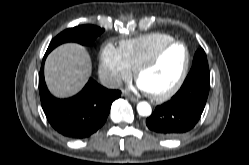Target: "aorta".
Returning a JSON list of instances; mask_svg holds the SVG:
<instances>
[{
	"mask_svg": "<svg viewBox=\"0 0 249 165\" xmlns=\"http://www.w3.org/2000/svg\"><path fill=\"white\" fill-rule=\"evenodd\" d=\"M137 111L141 116H149L152 112V109L149 103L143 101L138 103Z\"/></svg>",
	"mask_w": 249,
	"mask_h": 165,
	"instance_id": "aorta-1",
	"label": "aorta"
}]
</instances>
